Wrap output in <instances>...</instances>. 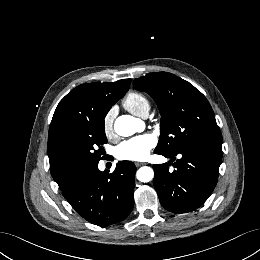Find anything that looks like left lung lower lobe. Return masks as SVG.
Here are the masks:
<instances>
[{
  "label": "left lung lower lobe",
  "mask_w": 260,
  "mask_h": 260,
  "mask_svg": "<svg viewBox=\"0 0 260 260\" xmlns=\"http://www.w3.org/2000/svg\"><path fill=\"white\" fill-rule=\"evenodd\" d=\"M222 144H196L169 154L155 152L175 161L153 165L154 187L161 205L173 213H187L200 207L214 190L222 160Z\"/></svg>",
  "instance_id": "1"
}]
</instances>
